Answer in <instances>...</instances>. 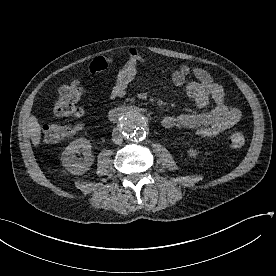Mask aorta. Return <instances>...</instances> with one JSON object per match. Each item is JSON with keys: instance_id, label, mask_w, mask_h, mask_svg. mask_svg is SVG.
Instances as JSON below:
<instances>
[{"instance_id": "1", "label": "aorta", "mask_w": 276, "mask_h": 276, "mask_svg": "<svg viewBox=\"0 0 276 276\" xmlns=\"http://www.w3.org/2000/svg\"><path fill=\"white\" fill-rule=\"evenodd\" d=\"M125 136L131 141H141L146 137L145 120L141 113L130 111L121 121Z\"/></svg>"}]
</instances>
